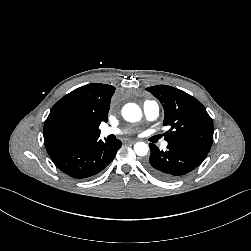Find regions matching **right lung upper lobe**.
Masks as SVG:
<instances>
[{
  "label": "right lung upper lobe",
  "instance_id": "cb5924a9",
  "mask_svg": "<svg viewBox=\"0 0 251 251\" xmlns=\"http://www.w3.org/2000/svg\"><path fill=\"white\" fill-rule=\"evenodd\" d=\"M114 92V86L93 83L79 87L60 99L44 124V143L48 154L63 143L99 137V125L108 120ZM63 122L73 123L75 134L65 136L60 133L59 125Z\"/></svg>",
  "mask_w": 251,
  "mask_h": 251
}]
</instances>
